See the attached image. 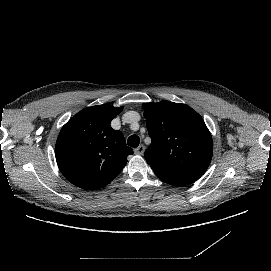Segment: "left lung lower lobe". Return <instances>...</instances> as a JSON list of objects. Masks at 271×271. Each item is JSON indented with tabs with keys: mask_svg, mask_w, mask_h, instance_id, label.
I'll list each match as a JSON object with an SVG mask.
<instances>
[{
	"mask_svg": "<svg viewBox=\"0 0 271 271\" xmlns=\"http://www.w3.org/2000/svg\"><path fill=\"white\" fill-rule=\"evenodd\" d=\"M149 165L151 166L152 170L159 179H161L163 182L167 184L174 186L188 185L195 182L201 177V175L195 173L162 168L152 164Z\"/></svg>",
	"mask_w": 271,
	"mask_h": 271,
	"instance_id": "0a47b994",
	"label": "left lung lower lobe"
}]
</instances>
